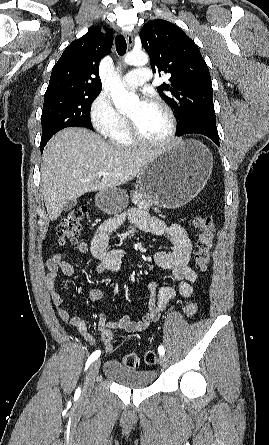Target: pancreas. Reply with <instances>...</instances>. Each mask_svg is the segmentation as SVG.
Here are the masks:
<instances>
[{
	"mask_svg": "<svg viewBox=\"0 0 269 445\" xmlns=\"http://www.w3.org/2000/svg\"><path fill=\"white\" fill-rule=\"evenodd\" d=\"M131 201L133 204L145 210H149L154 205V202L151 199L147 198L142 193H138L137 191H133L131 194ZM153 209L156 212L159 211L156 207Z\"/></svg>",
	"mask_w": 269,
	"mask_h": 445,
	"instance_id": "cf45deb5",
	"label": "pancreas"
}]
</instances>
